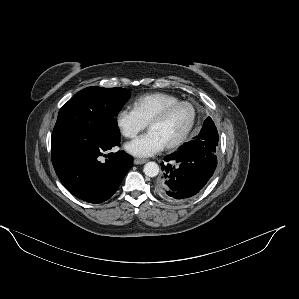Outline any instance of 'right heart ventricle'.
Segmentation results:
<instances>
[{"mask_svg":"<svg viewBox=\"0 0 299 299\" xmlns=\"http://www.w3.org/2000/svg\"><path fill=\"white\" fill-rule=\"evenodd\" d=\"M179 100L180 99L177 96L169 93H146L133 100L132 109L145 124H148V122L165 106Z\"/></svg>","mask_w":299,"mask_h":299,"instance_id":"1","label":"right heart ventricle"}]
</instances>
